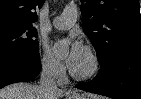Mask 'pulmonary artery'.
Masks as SVG:
<instances>
[{
  "label": "pulmonary artery",
  "mask_w": 141,
  "mask_h": 99,
  "mask_svg": "<svg viewBox=\"0 0 141 99\" xmlns=\"http://www.w3.org/2000/svg\"><path fill=\"white\" fill-rule=\"evenodd\" d=\"M77 8L74 5H68L63 13L53 20V27L59 30L70 28L77 19Z\"/></svg>",
  "instance_id": "1"
}]
</instances>
